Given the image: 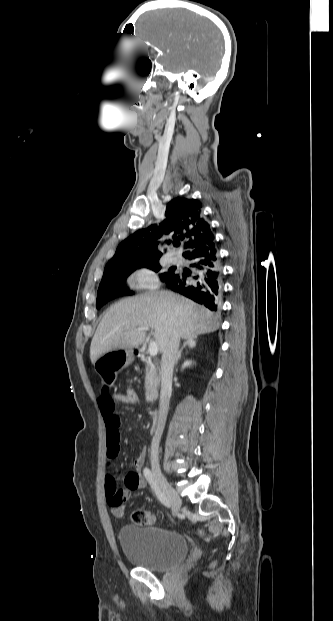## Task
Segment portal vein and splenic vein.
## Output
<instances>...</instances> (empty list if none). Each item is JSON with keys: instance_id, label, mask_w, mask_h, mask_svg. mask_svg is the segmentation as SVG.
<instances>
[{"instance_id": "1", "label": "portal vein and splenic vein", "mask_w": 333, "mask_h": 621, "mask_svg": "<svg viewBox=\"0 0 333 621\" xmlns=\"http://www.w3.org/2000/svg\"><path fill=\"white\" fill-rule=\"evenodd\" d=\"M150 328L149 327H138L137 330L138 331H148ZM149 354L150 356H155L158 353V344L156 341H151L149 344V348H148Z\"/></svg>"}]
</instances>
